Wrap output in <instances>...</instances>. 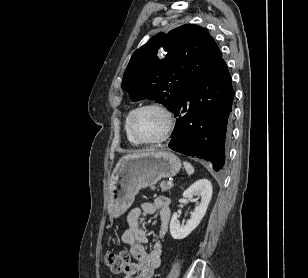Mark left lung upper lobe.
Wrapping results in <instances>:
<instances>
[{
  "mask_svg": "<svg viewBox=\"0 0 308 278\" xmlns=\"http://www.w3.org/2000/svg\"><path fill=\"white\" fill-rule=\"evenodd\" d=\"M221 59L206 29L182 25L155 35L133 53L122 87L133 101L153 99L173 111L190 87Z\"/></svg>",
  "mask_w": 308,
  "mask_h": 278,
  "instance_id": "5c2ea615",
  "label": "left lung upper lobe"
}]
</instances>
